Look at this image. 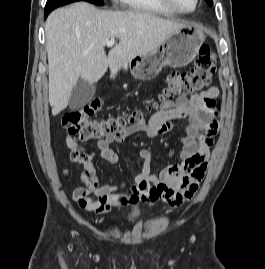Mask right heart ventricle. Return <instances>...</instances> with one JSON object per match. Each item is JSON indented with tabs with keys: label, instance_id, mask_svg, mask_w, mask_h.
Masks as SVG:
<instances>
[{
	"label": "right heart ventricle",
	"instance_id": "obj_1",
	"mask_svg": "<svg viewBox=\"0 0 265 269\" xmlns=\"http://www.w3.org/2000/svg\"><path fill=\"white\" fill-rule=\"evenodd\" d=\"M130 10L173 15V12L160 3L159 0H120Z\"/></svg>",
	"mask_w": 265,
	"mask_h": 269
}]
</instances>
